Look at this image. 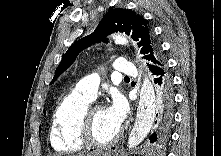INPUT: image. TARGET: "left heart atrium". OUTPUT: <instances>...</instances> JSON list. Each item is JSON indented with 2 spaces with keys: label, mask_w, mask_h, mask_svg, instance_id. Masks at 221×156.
Instances as JSON below:
<instances>
[{
  "label": "left heart atrium",
  "mask_w": 221,
  "mask_h": 156,
  "mask_svg": "<svg viewBox=\"0 0 221 156\" xmlns=\"http://www.w3.org/2000/svg\"><path fill=\"white\" fill-rule=\"evenodd\" d=\"M128 113V105L121 96H114L110 105L106 108V116L109 122L120 129Z\"/></svg>",
  "instance_id": "39dd6f15"
}]
</instances>
